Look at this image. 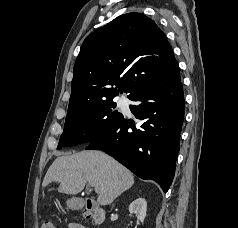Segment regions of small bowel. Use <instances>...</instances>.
I'll return each mask as SVG.
<instances>
[{
	"instance_id": "c3829d8e",
	"label": "small bowel",
	"mask_w": 238,
	"mask_h": 228,
	"mask_svg": "<svg viewBox=\"0 0 238 228\" xmlns=\"http://www.w3.org/2000/svg\"><path fill=\"white\" fill-rule=\"evenodd\" d=\"M69 228H88V227H86L85 225L80 224V223H71L69 225Z\"/></svg>"
}]
</instances>
